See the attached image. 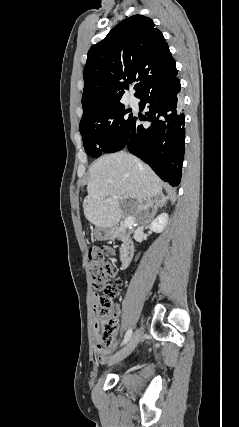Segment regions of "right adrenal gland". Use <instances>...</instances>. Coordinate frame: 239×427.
Here are the masks:
<instances>
[{
    "instance_id": "1",
    "label": "right adrenal gland",
    "mask_w": 239,
    "mask_h": 427,
    "mask_svg": "<svg viewBox=\"0 0 239 427\" xmlns=\"http://www.w3.org/2000/svg\"><path fill=\"white\" fill-rule=\"evenodd\" d=\"M159 205H157V206H155V209H157V207H158Z\"/></svg>"
}]
</instances>
